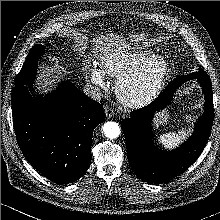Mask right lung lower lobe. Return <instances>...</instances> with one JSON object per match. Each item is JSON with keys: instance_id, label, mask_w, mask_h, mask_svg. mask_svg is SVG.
<instances>
[{"instance_id": "obj_1", "label": "right lung lower lobe", "mask_w": 220, "mask_h": 220, "mask_svg": "<svg viewBox=\"0 0 220 220\" xmlns=\"http://www.w3.org/2000/svg\"><path fill=\"white\" fill-rule=\"evenodd\" d=\"M32 86L17 85L12 91L18 145L47 179L58 184L75 182L90 166L93 131L105 119L103 107L69 82L45 97H32Z\"/></svg>"}]
</instances>
